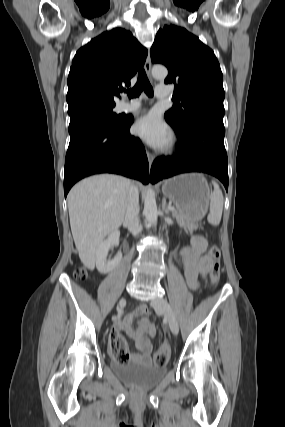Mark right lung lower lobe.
<instances>
[{
	"mask_svg": "<svg viewBox=\"0 0 285 427\" xmlns=\"http://www.w3.org/2000/svg\"><path fill=\"white\" fill-rule=\"evenodd\" d=\"M133 118L111 127L99 122L86 123L70 133L65 159L64 193L80 179L99 173H115L149 182V164L144 147L130 135Z\"/></svg>",
	"mask_w": 285,
	"mask_h": 427,
	"instance_id": "obj_1",
	"label": "right lung lower lobe"
}]
</instances>
